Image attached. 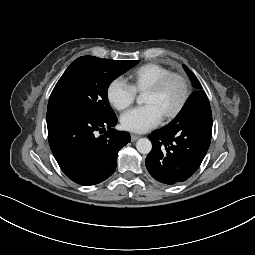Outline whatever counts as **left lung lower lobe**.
Instances as JSON below:
<instances>
[{"label": "left lung lower lobe", "mask_w": 255, "mask_h": 255, "mask_svg": "<svg viewBox=\"0 0 255 255\" xmlns=\"http://www.w3.org/2000/svg\"><path fill=\"white\" fill-rule=\"evenodd\" d=\"M211 134L210 104L206 93L198 90L169 125L148 136L153 146L145 160L148 172L168 185L186 181L202 163Z\"/></svg>", "instance_id": "1"}]
</instances>
